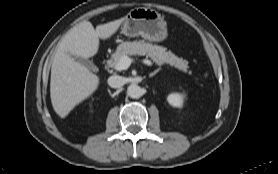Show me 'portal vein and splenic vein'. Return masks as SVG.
Listing matches in <instances>:
<instances>
[{"mask_svg": "<svg viewBox=\"0 0 278 174\" xmlns=\"http://www.w3.org/2000/svg\"><path fill=\"white\" fill-rule=\"evenodd\" d=\"M133 62H134V59L129 58L128 56H123V57L120 58V60L115 65V70H117V71L126 70V69L129 68V66ZM142 63L147 65V66H152L153 65V63L149 59H143Z\"/></svg>", "mask_w": 278, "mask_h": 174, "instance_id": "portal-vein-and-splenic-vein-1", "label": "portal vein and splenic vein"}]
</instances>
